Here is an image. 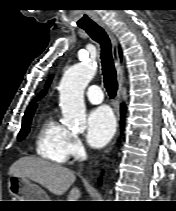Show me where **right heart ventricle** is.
<instances>
[{"label": "right heart ventricle", "instance_id": "obj_1", "mask_svg": "<svg viewBox=\"0 0 176 211\" xmlns=\"http://www.w3.org/2000/svg\"><path fill=\"white\" fill-rule=\"evenodd\" d=\"M70 132L53 115L46 116L38 126L35 138L37 154L55 163L66 162Z\"/></svg>", "mask_w": 176, "mask_h": 211}]
</instances>
